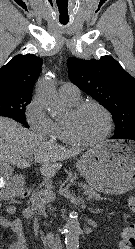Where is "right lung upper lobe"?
<instances>
[{
  "instance_id": "1",
  "label": "right lung upper lobe",
  "mask_w": 135,
  "mask_h": 249,
  "mask_svg": "<svg viewBox=\"0 0 135 249\" xmlns=\"http://www.w3.org/2000/svg\"><path fill=\"white\" fill-rule=\"evenodd\" d=\"M42 61L33 54L13 57L0 68V93L31 95Z\"/></svg>"
}]
</instances>
